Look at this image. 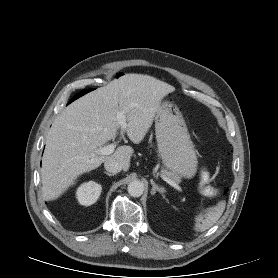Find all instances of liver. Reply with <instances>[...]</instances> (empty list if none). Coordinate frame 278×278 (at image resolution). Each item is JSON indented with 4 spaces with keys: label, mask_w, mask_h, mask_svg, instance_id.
<instances>
[{
    "label": "liver",
    "mask_w": 278,
    "mask_h": 278,
    "mask_svg": "<svg viewBox=\"0 0 278 278\" xmlns=\"http://www.w3.org/2000/svg\"><path fill=\"white\" fill-rule=\"evenodd\" d=\"M174 87L142 74H125L67 106L55 119L42 159V192L46 201L57 199L82 174L107 160L130 167L134 152L120 146L108 156L95 151L114 139L119 130L117 114L124 111L129 139L140 143L150 129L161 100Z\"/></svg>",
    "instance_id": "obj_1"
}]
</instances>
